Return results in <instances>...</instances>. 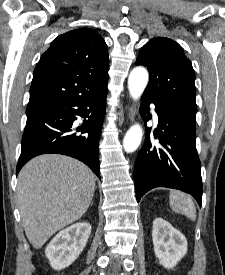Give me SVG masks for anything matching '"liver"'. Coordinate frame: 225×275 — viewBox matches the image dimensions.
<instances>
[{
	"mask_svg": "<svg viewBox=\"0 0 225 275\" xmlns=\"http://www.w3.org/2000/svg\"><path fill=\"white\" fill-rule=\"evenodd\" d=\"M95 181L85 164L63 155H41L22 168L17 199L25 234L35 249L85 214Z\"/></svg>",
	"mask_w": 225,
	"mask_h": 275,
	"instance_id": "1",
	"label": "liver"
}]
</instances>
